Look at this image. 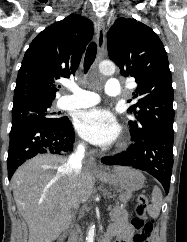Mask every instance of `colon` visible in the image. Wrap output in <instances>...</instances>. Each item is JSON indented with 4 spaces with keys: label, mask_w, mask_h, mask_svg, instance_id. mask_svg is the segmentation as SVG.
Here are the masks:
<instances>
[{
    "label": "colon",
    "mask_w": 187,
    "mask_h": 242,
    "mask_svg": "<svg viewBox=\"0 0 187 242\" xmlns=\"http://www.w3.org/2000/svg\"><path fill=\"white\" fill-rule=\"evenodd\" d=\"M147 206V196L140 194L137 198L135 216L132 220L133 227L136 229L132 242H149L152 237L154 222L147 217Z\"/></svg>",
    "instance_id": "5ec220e1"
}]
</instances>
